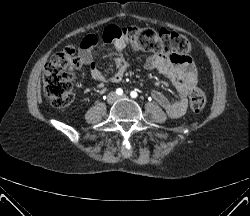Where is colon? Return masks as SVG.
Masks as SVG:
<instances>
[{
	"label": "colon",
	"instance_id": "colon-1",
	"mask_svg": "<svg viewBox=\"0 0 250 216\" xmlns=\"http://www.w3.org/2000/svg\"><path fill=\"white\" fill-rule=\"evenodd\" d=\"M105 42L125 40L140 50L151 51L163 55L187 56L191 50L189 40L174 31H156L150 28L130 26L120 29L115 26L107 27L102 35ZM82 62L73 48H67L51 57L43 74L45 95L51 104L59 109L67 108L73 102L72 78ZM190 108L200 113L206 104L204 92L197 86L190 91Z\"/></svg>",
	"mask_w": 250,
	"mask_h": 216
}]
</instances>
